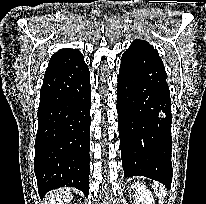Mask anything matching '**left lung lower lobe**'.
I'll list each match as a JSON object with an SVG mask.
<instances>
[{
    "mask_svg": "<svg viewBox=\"0 0 206 204\" xmlns=\"http://www.w3.org/2000/svg\"><path fill=\"white\" fill-rule=\"evenodd\" d=\"M133 68L125 57L117 85L118 130L125 177L145 176L170 189L171 102L162 60Z\"/></svg>",
    "mask_w": 206,
    "mask_h": 204,
    "instance_id": "1",
    "label": "left lung lower lobe"
}]
</instances>
